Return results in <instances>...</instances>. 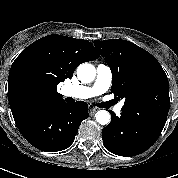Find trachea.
<instances>
[{"instance_id":"obj_1","label":"trachea","mask_w":178,"mask_h":178,"mask_svg":"<svg viewBox=\"0 0 178 178\" xmlns=\"http://www.w3.org/2000/svg\"><path fill=\"white\" fill-rule=\"evenodd\" d=\"M113 104H114V101H108V102H105V103L100 104L99 106H100L101 108H108V107H110V106L113 105Z\"/></svg>"}]
</instances>
